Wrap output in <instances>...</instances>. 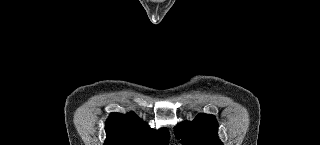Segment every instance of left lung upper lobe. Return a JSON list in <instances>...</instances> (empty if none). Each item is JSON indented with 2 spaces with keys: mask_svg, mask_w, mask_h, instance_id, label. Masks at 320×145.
Listing matches in <instances>:
<instances>
[{
  "mask_svg": "<svg viewBox=\"0 0 320 145\" xmlns=\"http://www.w3.org/2000/svg\"><path fill=\"white\" fill-rule=\"evenodd\" d=\"M218 125L214 116L199 114L189 123L175 127V135L183 145H223L217 135Z\"/></svg>",
  "mask_w": 320,
  "mask_h": 145,
  "instance_id": "5c2ea615",
  "label": "left lung upper lobe"
}]
</instances>
